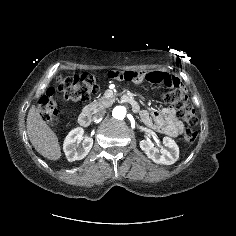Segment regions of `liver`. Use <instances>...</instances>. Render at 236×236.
Listing matches in <instances>:
<instances>
[{"mask_svg":"<svg viewBox=\"0 0 236 236\" xmlns=\"http://www.w3.org/2000/svg\"><path fill=\"white\" fill-rule=\"evenodd\" d=\"M27 134L39 154L49 160L60 159L61 147L58 137L42 119L35 105H32L28 112Z\"/></svg>","mask_w":236,"mask_h":236,"instance_id":"6515ba94","label":"liver"}]
</instances>
